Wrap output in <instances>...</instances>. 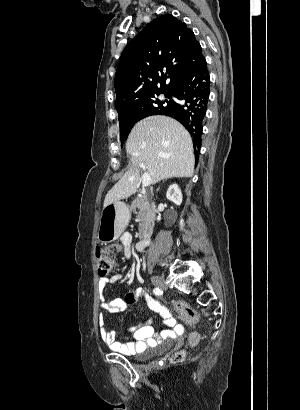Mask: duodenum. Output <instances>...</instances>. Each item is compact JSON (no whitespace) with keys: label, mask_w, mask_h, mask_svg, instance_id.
<instances>
[{"label":"duodenum","mask_w":300,"mask_h":410,"mask_svg":"<svg viewBox=\"0 0 300 410\" xmlns=\"http://www.w3.org/2000/svg\"><path fill=\"white\" fill-rule=\"evenodd\" d=\"M151 242V237L150 236H145L139 239V241L136 243L135 247L137 250L141 251L144 248H146Z\"/></svg>","instance_id":"1"}]
</instances>
